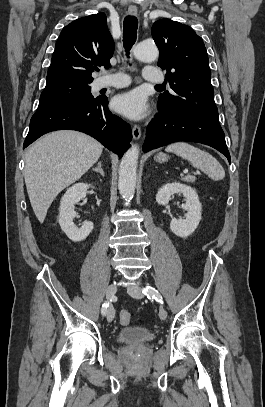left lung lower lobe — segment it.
<instances>
[{"instance_id": "left-lung-lower-lobe-1", "label": "left lung lower lobe", "mask_w": 265, "mask_h": 407, "mask_svg": "<svg viewBox=\"0 0 265 407\" xmlns=\"http://www.w3.org/2000/svg\"><path fill=\"white\" fill-rule=\"evenodd\" d=\"M177 141L209 145L224 154L229 163L231 161L221 126L183 112H159L146 128L143 151Z\"/></svg>"}]
</instances>
